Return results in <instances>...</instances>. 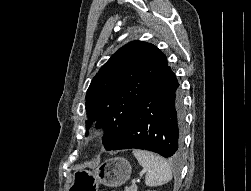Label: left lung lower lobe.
Returning a JSON list of instances; mask_svg holds the SVG:
<instances>
[{
  "label": "left lung lower lobe",
  "instance_id": "0a47b994",
  "mask_svg": "<svg viewBox=\"0 0 251 191\" xmlns=\"http://www.w3.org/2000/svg\"><path fill=\"white\" fill-rule=\"evenodd\" d=\"M171 68L163 71L139 101L110 150L145 149L165 158L181 152L182 102Z\"/></svg>",
  "mask_w": 251,
  "mask_h": 191
}]
</instances>
